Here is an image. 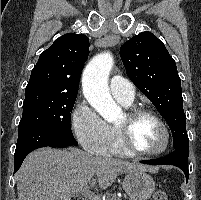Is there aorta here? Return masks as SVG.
<instances>
[{"label":"aorta","instance_id":"1","mask_svg":"<svg viewBox=\"0 0 201 200\" xmlns=\"http://www.w3.org/2000/svg\"><path fill=\"white\" fill-rule=\"evenodd\" d=\"M113 64L110 52L98 54L88 63L82 75L86 100L107 122L115 121L121 113L108 87V77Z\"/></svg>","mask_w":201,"mask_h":200}]
</instances>
